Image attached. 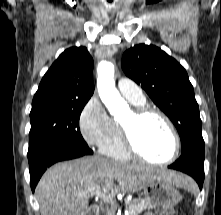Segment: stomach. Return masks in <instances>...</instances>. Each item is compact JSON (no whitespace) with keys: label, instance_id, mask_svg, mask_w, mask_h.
Wrapping results in <instances>:
<instances>
[{"label":"stomach","instance_id":"stomach-1","mask_svg":"<svg viewBox=\"0 0 221 215\" xmlns=\"http://www.w3.org/2000/svg\"><path fill=\"white\" fill-rule=\"evenodd\" d=\"M143 190L145 200L153 207L171 208L181 200L176 186L163 180H154L144 186Z\"/></svg>","mask_w":221,"mask_h":215}]
</instances>
